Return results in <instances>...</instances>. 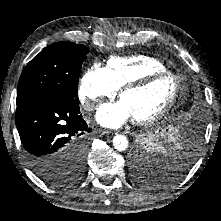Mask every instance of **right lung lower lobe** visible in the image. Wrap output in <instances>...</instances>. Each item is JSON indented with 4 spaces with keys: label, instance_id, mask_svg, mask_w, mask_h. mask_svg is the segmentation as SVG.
<instances>
[{
    "label": "right lung lower lobe",
    "instance_id": "1",
    "mask_svg": "<svg viewBox=\"0 0 221 221\" xmlns=\"http://www.w3.org/2000/svg\"><path fill=\"white\" fill-rule=\"evenodd\" d=\"M15 123L37 175L49 163H59L63 169L68 155L85 143L91 131L78 101L62 95H36L17 103Z\"/></svg>",
    "mask_w": 221,
    "mask_h": 221
}]
</instances>
